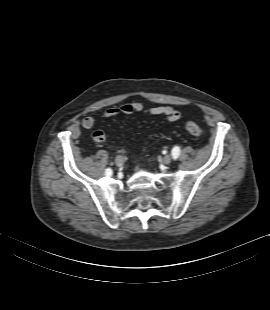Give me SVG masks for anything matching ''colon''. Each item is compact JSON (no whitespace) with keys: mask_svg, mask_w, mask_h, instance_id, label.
Instances as JSON below:
<instances>
[{"mask_svg":"<svg viewBox=\"0 0 270 310\" xmlns=\"http://www.w3.org/2000/svg\"><path fill=\"white\" fill-rule=\"evenodd\" d=\"M185 129L189 134L195 137H200L203 134L202 127L194 121H187L185 123Z\"/></svg>","mask_w":270,"mask_h":310,"instance_id":"colon-1","label":"colon"}]
</instances>
